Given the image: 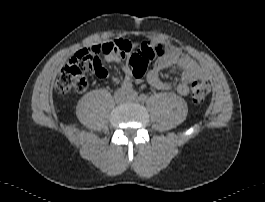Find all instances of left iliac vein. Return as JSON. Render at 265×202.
I'll list each match as a JSON object with an SVG mask.
<instances>
[{"label":"left iliac vein","mask_w":265,"mask_h":202,"mask_svg":"<svg viewBox=\"0 0 265 202\" xmlns=\"http://www.w3.org/2000/svg\"><path fill=\"white\" fill-rule=\"evenodd\" d=\"M127 100L132 102H138L139 98L137 96V93L133 90H130L127 92Z\"/></svg>","instance_id":"4c4485c4"}]
</instances>
